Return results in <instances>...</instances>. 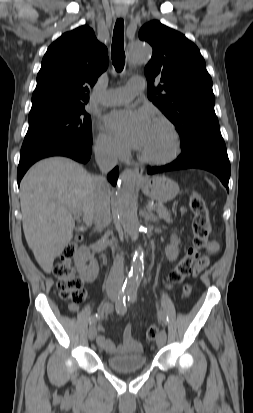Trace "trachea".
<instances>
[{
    "label": "trachea",
    "mask_w": 253,
    "mask_h": 413,
    "mask_svg": "<svg viewBox=\"0 0 253 413\" xmlns=\"http://www.w3.org/2000/svg\"><path fill=\"white\" fill-rule=\"evenodd\" d=\"M111 58L116 71L121 72L125 65L123 19H118L114 27L111 47Z\"/></svg>",
    "instance_id": "trachea-1"
}]
</instances>
